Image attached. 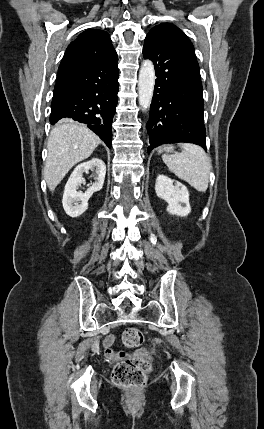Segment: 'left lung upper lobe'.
Masks as SVG:
<instances>
[{
    "label": "left lung upper lobe",
    "mask_w": 264,
    "mask_h": 429,
    "mask_svg": "<svg viewBox=\"0 0 264 429\" xmlns=\"http://www.w3.org/2000/svg\"><path fill=\"white\" fill-rule=\"evenodd\" d=\"M153 30L171 32V33L177 35L183 41H185L194 50V47H193L191 41L189 40V38L179 28H177L173 24L163 23V24L155 26L150 31H153Z\"/></svg>",
    "instance_id": "obj_1"
}]
</instances>
